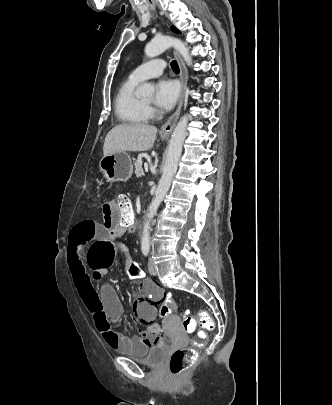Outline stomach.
<instances>
[{
	"label": "stomach",
	"instance_id": "obj_1",
	"mask_svg": "<svg viewBox=\"0 0 332 405\" xmlns=\"http://www.w3.org/2000/svg\"><path fill=\"white\" fill-rule=\"evenodd\" d=\"M99 167L110 182L128 180L133 173L131 158L124 151L104 156L100 160Z\"/></svg>",
	"mask_w": 332,
	"mask_h": 405
}]
</instances>
